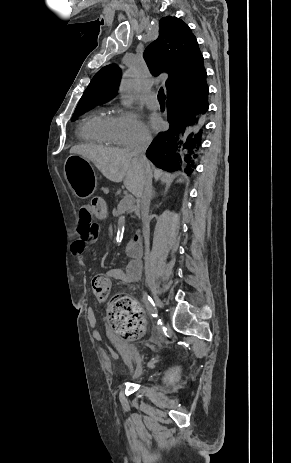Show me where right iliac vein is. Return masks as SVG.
<instances>
[{
  "instance_id": "1",
  "label": "right iliac vein",
  "mask_w": 291,
  "mask_h": 463,
  "mask_svg": "<svg viewBox=\"0 0 291 463\" xmlns=\"http://www.w3.org/2000/svg\"><path fill=\"white\" fill-rule=\"evenodd\" d=\"M148 283H149V287H150V289L152 291V295H153V299H154L155 304L157 305V307L162 308V302L159 299V297L157 296L156 287L154 285L153 280L149 279Z\"/></svg>"
}]
</instances>
